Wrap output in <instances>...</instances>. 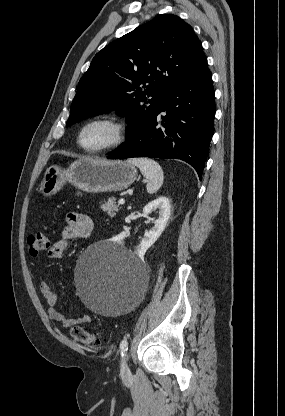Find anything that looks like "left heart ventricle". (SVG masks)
I'll use <instances>...</instances> for the list:
<instances>
[{
	"mask_svg": "<svg viewBox=\"0 0 285 416\" xmlns=\"http://www.w3.org/2000/svg\"><path fill=\"white\" fill-rule=\"evenodd\" d=\"M113 133L105 124H94L88 127L83 136L82 144L89 149H97L106 146L112 140Z\"/></svg>",
	"mask_w": 285,
	"mask_h": 416,
	"instance_id": "left-heart-ventricle-1",
	"label": "left heart ventricle"
}]
</instances>
